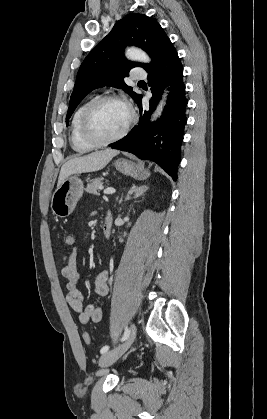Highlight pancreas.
<instances>
[{
    "label": "pancreas",
    "mask_w": 267,
    "mask_h": 419,
    "mask_svg": "<svg viewBox=\"0 0 267 419\" xmlns=\"http://www.w3.org/2000/svg\"><path fill=\"white\" fill-rule=\"evenodd\" d=\"M103 179L102 178H95L92 179L86 187V192L94 194V195H99L98 193V189L100 186L103 185Z\"/></svg>",
    "instance_id": "cf45deb5"
}]
</instances>
